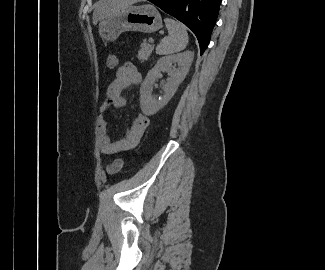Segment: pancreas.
Wrapping results in <instances>:
<instances>
[{
	"mask_svg": "<svg viewBox=\"0 0 325 270\" xmlns=\"http://www.w3.org/2000/svg\"><path fill=\"white\" fill-rule=\"evenodd\" d=\"M152 50H153V46L147 43L146 41H144L141 44V49L138 52L137 58L141 61L146 60L152 53Z\"/></svg>",
	"mask_w": 325,
	"mask_h": 270,
	"instance_id": "1",
	"label": "pancreas"
}]
</instances>
